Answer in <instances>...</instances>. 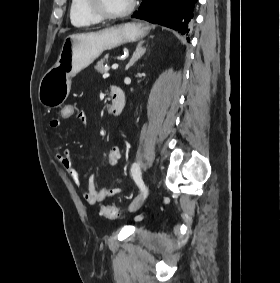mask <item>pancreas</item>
Returning <instances> with one entry per match:
<instances>
[{
  "mask_svg": "<svg viewBox=\"0 0 280 283\" xmlns=\"http://www.w3.org/2000/svg\"><path fill=\"white\" fill-rule=\"evenodd\" d=\"M107 59H108V56H105L104 58L100 59V60L97 62L96 66H95V70H96L97 72L105 73V72H107V71L109 70V67H105V66H104V65H105V62L107 61Z\"/></svg>",
  "mask_w": 280,
  "mask_h": 283,
  "instance_id": "1",
  "label": "pancreas"
}]
</instances>
